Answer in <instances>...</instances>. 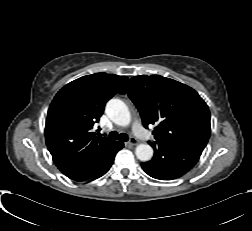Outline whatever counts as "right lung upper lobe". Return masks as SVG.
<instances>
[{"mask_svg":"<svg viewBox=\"0 0 252 231\" xmlns=\"http://www.w3.org/2000/svg\"><path fill=\"white\" fill-rule=\"evenodd\" d=\"M128 78L95 73L65 85L53 99L46 119L47 147L58 169L75 181L90 179L121 144L96 137L91 129L106 102Z\"/></svg>","mask_w":252,"mask_h":231,"instance_id":"1","label":"right lung upper lobe"}]
</instances>
